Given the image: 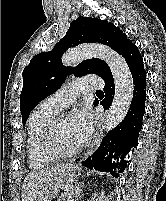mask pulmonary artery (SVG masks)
<instances>
[{
	"label": "pulmonary artery",
	"mask_w": 166,
	"mask_h": 201,
	"mask_svg": "<svg viewBox=\"0 0 166 201\" xmlns=\"http://www.w3.org/2000/svg\"><path fill=\"white\" fill-rule=\"evenodd\" d=\"M104 82L97 77H87L76 80L72 83L62 87L51 96L46 98L42 105L56 113L60 112L63 108L71 104L77 96L86 90L101 89Z\"/></svg>",
	"instance_id": "e3ab8cb5"
}]
</instances>
